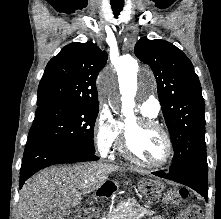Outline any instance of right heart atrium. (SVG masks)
<instances>
[{
    "mask_svg": "<svg viewBox=\"0 0 221 219\" xmlns=\"http://www.w3.org/2000/svg\"><path fill=\"white\" fill-rule=\"evenodd\" d=\"M121 130L119 120L108 108L101 107L94 122L93 134L96 148L102 156H107L113 151Z\"/></svg>",
    "mask_w": 221,
    "mask_h": 219,
    "instance_id": "obj_1",
    "label": "right heart atrium"
}]
</instances>
